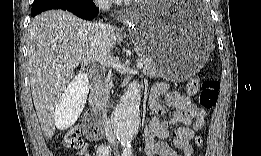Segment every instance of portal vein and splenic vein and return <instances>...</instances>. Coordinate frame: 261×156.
I'll return each mask as SVG.
<instances>
[{
    "label": "portal vein and splenic vein",
    "instance_id": "1",
    "mask_svg": "<svg viewBox=\"0 0 261 156\" xmlns=\"http://www.w3.org/2000/svg\"><path fill=\"white\" fill-rule=\"evenodd\" d=\"M78 65H79L78 62H73V63L68 64L67 67H69V68H75V67H77ZM143 66H144V63H143L142 61H138V62H137V67H138V68H143Z\"/></svg>",
    "mask_w": 261,
    "mask_h": 156
}]
</instances>
